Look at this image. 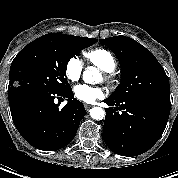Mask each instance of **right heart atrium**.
<instances>
[{"instance_id":"right-heart-atrium-1","label":"right heart atrium","mask_w":178,"mask_h":178,"mask_svg":"<svg viewBox=\"0 0 178 178\" xmlns=\"http://www.w3.org/2000/svg\"><path fill=\"white\" fill-rule=\"evenodd\" d=\"M83 71V64L77 57L70 58L65 66V73L68 80L76 82L80 79Z\"/></svg>"}]
</instances>
